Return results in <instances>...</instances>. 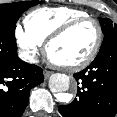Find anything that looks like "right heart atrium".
<instances>
[{"label":"right heart atrium","instance_id":"obj_1","mask_svg":"<svg viewBox=\"0 0 117 117\" xmlns=\"http://www.w3.org/2000/svg\"><path fill=\"white\" fill-rule=\"evenodd\" d=\"M14 36L23 57L27 61L33 62L39 54L40 43L30 36L20 25H16Z\"/></svg>","mask_w":117,"mask_h":117}]
</instances>
